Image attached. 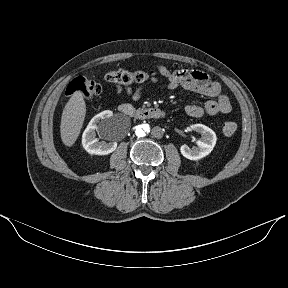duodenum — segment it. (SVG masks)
Wrapping results in <instances>:
<instances>
[{
  "mask_svg": "<svg viewBox=\"0 0 288 288\" xmlns=\"http://www.w3.org/2000/svg\"><path fill=\"white\" fill-rule=\"evenodd\" d=\"M121 114L135 118L138 120H147V119H161L165 117V112L157 107H146L136 109L130 104H122L119 107Z\"/></svg>",
  "mask_w": 288,
  "mask_h": 288,
  "instance_id": "1",
  "label": "duodenum"
}]
</instances>
